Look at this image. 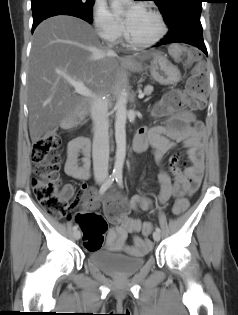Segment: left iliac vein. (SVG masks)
Returning <instances> with one entry per match:
<instances>
[{
  "instance_id": "obj_1",
  "label": "left iliac vein",
  "mask_w": 238,
  "mask_h": 315,
  "mask_svg": "<svg viewBox=\"0 0 238 315\" xmlns=\"http://www.w3.org/2000/svg\"><path fill=\"white\" fill-rule=\"evenodd\" d=\"M160 238H161L160 232L155 231V232L153 233V239H154V241L158 242V241L160 240Z\"/></svg>"
}]
</instances>
